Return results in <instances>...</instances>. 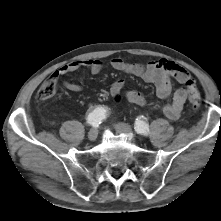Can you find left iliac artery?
<instances>
[{
    "mask_svg": "<svg viewBox=\"0 0 221 221\" xmlns=\"http://www.w3.org/2000/svg\"><path fill=\"white\" fill-rule=\"evenodd\" d=\"M134 129L138 134L145 136L149 134V125L141 119H136Z\"/></svg>",
    "mask_w": 221,
    "mask_h": 221,
    "instance_id": "obj_1",
    "label": "left iliac artery"
}]
</instances>
